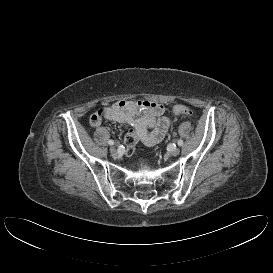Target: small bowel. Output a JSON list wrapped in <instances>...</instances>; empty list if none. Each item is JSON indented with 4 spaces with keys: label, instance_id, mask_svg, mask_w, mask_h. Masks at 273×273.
<instances>
[{
    "label": "small bowel",
    "instance_id": "small-bowel-1",
    "mask_svg": "<svg viewBox=\"0 0 273 273\" xmlns=\"http://www.w3.org/2000/svg\"><path fill=\"white\" fill-rule=\"evenodd\" d=\"M102 119L131 126L126 134L127 155L133 154L137 142L153 146L163 140L170 127L165 107L150 101H117L100 108L90 117V125L97 127Z\"/></svg>",
    "mask_w": 273,
    "mask_h": 273
}]
</instances>
